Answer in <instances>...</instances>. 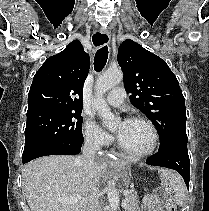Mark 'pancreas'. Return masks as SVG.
<instances>
[{
  "label": "pancreas",
  "mask_w": 209,
  "mask_h": 211,
  "mask_svg": "<svg viewBox=\"0 0 209 211\" xmlns=\"http://www.w3.org/2000/svg\"><path fill=\"white\" fill-rule=\"evenodd\" d=\"M127 202V211H139V201L137 199V192L132 189L125 195Z\"/></svg>",
  "instance_id": "obj_1"
}]
</instances>
